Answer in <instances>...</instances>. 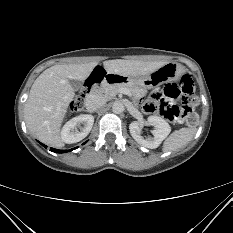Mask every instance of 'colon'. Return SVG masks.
I'll return each instance as SVG.
<instances>
[{
  "instance_id": "1",
  "label": "colon",
  "mask_w": 233,
  "mask_h": 233,
  "mask_svg": "<svg viewBox=\"0 0 233 233\" xmlns=\"http://www.w3.org/2000/svg\"><path fill=\"white\" fill-rule=\"evenodd\" d=\"M86 90L78 93L70 104L71 111H80L84 108ZM196 97L194 86L188 76L181 80V86L167 84L163 93H152L144 104L148 113H159L170 122L194 126L198 122L195 112Z\"/></svg>"
}]
</instances>
